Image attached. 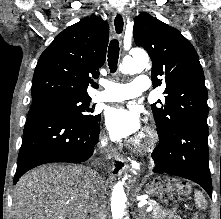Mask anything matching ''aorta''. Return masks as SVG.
I'll list each match as a JSON object with an SVG mask.
<instances>
[{"label": "aorta", "instance_id": "1", "mask_svg": "<svg viewBox=\"0 0 221 219\" xmlns=\"http://www.w3.org/2000/svg\"><path fill=\"white\" fill-rule=\"evenodd\" d=\"M149 66V57L142 50H133L123 58L119 70L123 74H135ZM129 194L122 182H118L112 194L111 210L113 219H128L126 204Z\"/></svg>", "mask_w": 221, "mask_h": 219}]
</instances>
